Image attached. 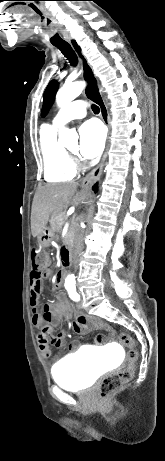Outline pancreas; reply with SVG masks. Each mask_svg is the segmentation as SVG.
I'll list each match as a JSON object with an SVG mask.
<instances>
[{
  "instance_id": "1",
  "label": "pancreas",
  "mask_w": 165,
  "mask_h": 461,
  "mask_svg": "<svg viewBox=\"0 0 165 461\" xmlns=\"http://www.w3.org/2000/svg\"><path fill=\"white\" fill-rule=\"evenodd\" d=\"M65 220H66L65 212L63 211L55 212L50 219L51 229L57 234L61 233ZM72 234H73V227H70L66 237L64 238V243H67V244L70 243Z\"/></svg>"
}]
</instances>
